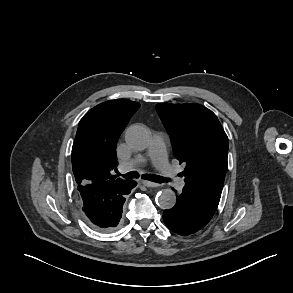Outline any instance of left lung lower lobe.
Instances as JSON below:
<instances>
[{
    "instance_id": "1",
    "label": "left lung lower lobe",
    "mask_w": 293,
    "mask_h": 293,
    "mask_svg": "<svg viewBox=\"0 0 293 293\" xmlns=\"http://www.w3.org/2000/svg\"><path fill=\"white\" fill-rule=\"evenodd\" d=\"M173 208L163 212L165 225L173 232L186 236L203 228L213 217L217 207L184 189L176 195Z\"/></svg>"
}]
</instances>
